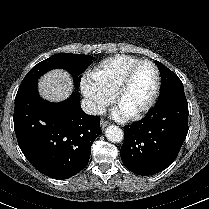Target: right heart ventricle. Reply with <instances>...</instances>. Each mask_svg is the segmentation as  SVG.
<instances>
[{"instance_id":"obj_1","label":"right heart ventricle","mask_w":209,"mask_h":209,"mask_svg":"<svg viewBox=\"0 0 209 209\" xmlns=\"http://www.w3.org/2000/svg\"><path fill=\"white\" fill-rule=\"evenodd\" d=\"M138 60L136 56L125 54L109 57L95 67L92 78L114 94L128 68Z\"/></svg>"}]
</instances>
